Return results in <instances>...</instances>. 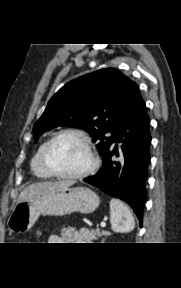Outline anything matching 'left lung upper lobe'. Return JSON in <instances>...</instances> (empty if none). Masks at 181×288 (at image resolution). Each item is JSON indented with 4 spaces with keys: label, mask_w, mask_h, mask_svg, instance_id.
I'll list each match as a JSON object with an SVG mask.
<instances>
[{
    "label": "left lung upper lobe",
    "mask_w": 181,
    "mask_h": 288,
    "mask_svg": "<svg viewBox=\"0 0 181 288\" xmlns=\"http://www.w3.org/2000/svg\"><path fill=\"white\" fill-rule=\"evenodd\" d=\"M139 92L138 86L118 69L106 68L65 84L48 102L35 123V141L57 126L87 131L100 155L111 148L117 132ZM112 133L108 136V133Z\"/></svg>",
    "instance_id": "left-lung-upper-lobe-1"
}]
</instances>
